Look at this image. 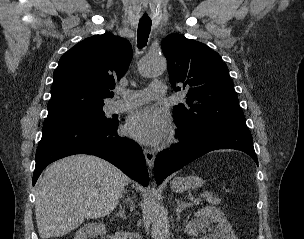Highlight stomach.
I'll return each mask as SVG.
<instances>
[{
  "label": "stomach",
  "instance_id": "1",
  "mask_svg": "<svg viewBox=\"0 0 304 239\" xmlns=\"http://www.w3.org/2000/svg\"><path fill=\"white\" fill-rule=\"evenodd\" d=\"M203 183L204 181L197 176L177 177L172 180L171 188L175 192H183L190 188L200 187Z\"/></svg>",
  "mask_w": 304,
  "mask_h": 239
}]
</instances>
